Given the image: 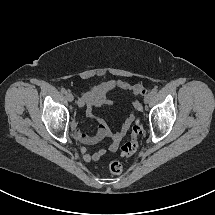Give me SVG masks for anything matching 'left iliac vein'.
<instances>
[{
	"label": "left iliac vein",
	"mask_w": 215,
	"mask_h": 215,
	"mask_svg": "<svg viewBox=\"0 0 215 215\" xmlns=\"http://www.w3.org/2000/svg\"><path fill=\"white\" fill-rule=\"evenodd\" d=\"M152 98V94L151 93H148L145 97H144V103H149L150 100Z\"/></svg>",
	"instance_id": "obj_1"
}]
</instances>
